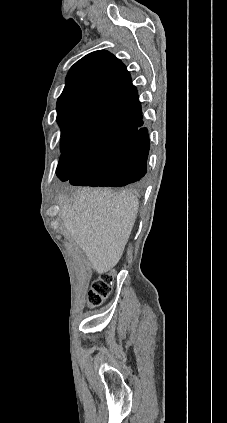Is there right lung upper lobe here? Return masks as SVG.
Listing matches in <instances>:
<instances>
[{
  "label": "right lung upper lobe",
  "mask_w": 227,
  "mask_h": 423,
  "mask_svg": "<svg viewBox=\"0 0 227 423\" xmlns=\"http://www.w3.org/2000/svg\"><path fill=\"white\" fill-rule=\"evenodd\" d=\"M137 97L130 74L119 59L104 50L86 55L71 67L57 101L61 146L91 155L127 139L138 128L122 120H106L102 113Z\"/></svg>",
  "instance_id": "obj_1"
}]
</instances>
